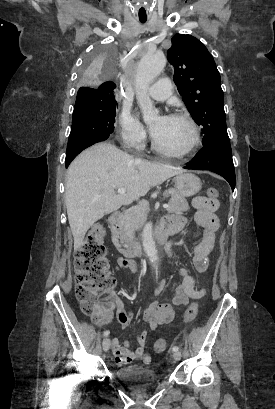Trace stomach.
Masks as SVG:
<instances>
[{
    "label": "stomach",
    "mask_w": 275,
    "mask_h": 409,
    "mask_svg": "<svg viewBox=\"0 0 275 409\" xmlns=\"http://www.w3.org/2000/svg\"><path fill=\"white\" fill-rule=\"evenodd\" d=\"M174 182L177 192H180L183 196H193V194H197L202 186L199 176L192 174V172L177 174L174 178Z\"/></svg>",
    "instance_id": "stomach-1"
}]
</instances>
